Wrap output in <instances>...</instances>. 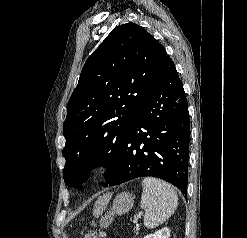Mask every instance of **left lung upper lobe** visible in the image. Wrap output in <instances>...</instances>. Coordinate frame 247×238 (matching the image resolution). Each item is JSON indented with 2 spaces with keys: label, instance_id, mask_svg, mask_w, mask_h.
<instances>
[{
  "label": "left lung upper lobe",
  "instance_id": "obj_1",
  "mask_svg": "<svg viewBox=\"0 0 247 238\" xmlns=\"http://www.w3.org/2000/svg\"><path fill=\"white\" fill-rule=\"evenodd\" d=\"M168 57L144 28L127 23L115 27L87 59L63 125L67 184L82 183L96 165L107 166L110 181L130 127Z\"/></svg>",
  "mask_w": 247,
  "mask_h": 238
}]
</instances>
